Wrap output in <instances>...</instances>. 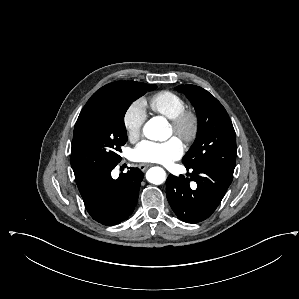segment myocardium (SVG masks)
Returning a JSON list of instances; mask_svg holds the SVG:
<instances>
[{"label": "myocardium", "instance_id": "myocardium-1", "mask_svg": "<svg viewBox=\"0 0 299 299\" xmlns=\"http://www.w3.org/2000/svg\"><path fill=\"white\" fill-rule=\"evenodd\" d=\"M173 133L185 144L192 143L198 134L199 118L195 111L185 108L171 119Z\"/></svg>", "mask_w": 299, "mask_h": 299}]
</instances>
